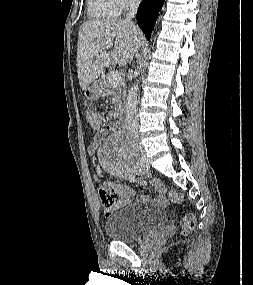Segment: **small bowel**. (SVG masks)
<instances>
[{"mask_svg": "<svg viewBox=\"0 0 253 285\" xmlns=\"http://www.w3.org/2000/svg\"><path fill=\"white\" fill-rule=\"evenodd\" d=\"M111 113H109V109H102V113H100V125L101 126H111ZM99 126L93 127L94 129H97V134L95 135L92 143L90 144L88 151L89 153L93 154L99 144L102 142V140L107 135L106 129H99ZM127 176V175H126ZM135 180V179H134ZM141 183H143V180H139ZM153 188L155 189L156 195L153 197H140L139 200L142 202L152 203L160 206H166L168 204V200L166 198V188L163 185V183L159 179H152L151 181ZM103 187L112 188L119 192L123 198L128 199L132 196H134L135 191L126 184H118L114 182H105Z\"/></svg>", "mask_w": 253, "mask_h": 285, "instance_id": "obj_1", "label": "small bowel"}]
</instances>
